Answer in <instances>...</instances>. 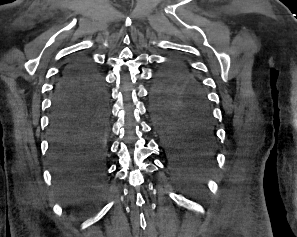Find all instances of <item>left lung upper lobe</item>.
<instances>
[{
	"label": "left lung upper lobe",
	"mask_w": 297,
	"mask_h": 237,
	"mask_svg": "<svg viewBox=\"0 0 297 237\" xmlns=\"http://www.w3.org/2000/svg\"><path fill=\"white\" fill-rule=\"evenodd\" d=\"M191 100L209 106L200 82L191 75L184 63L175 61L163 69L154 82L152 105L179 106Z\"/></svg>",
	"instance_id": "5c2ea615"
}]
</instances>
